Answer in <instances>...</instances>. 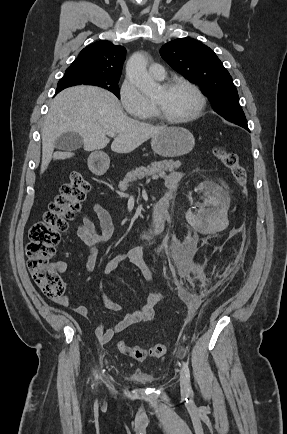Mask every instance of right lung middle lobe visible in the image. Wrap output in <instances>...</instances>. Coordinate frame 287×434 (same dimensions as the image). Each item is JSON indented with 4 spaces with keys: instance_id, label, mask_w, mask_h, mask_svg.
<instances>
[{
    "instance_id": "1",
    "label": "right lung middle lobe",
    "mask_w": 287,
    "mask_h": 434,
    "mask_svg": "<svg viewBox=\"0 0 287 434\" xmlns=\"http://www.w3.org/2000/svg\"><path fill=\"white\" fill-rule=\"evenodd\" d=\"M119 78L96 77L85 73L66 70L65 75L58 82L57 89H65L73 85H95L109 90L120 99L118 86Z\"/></svg>"
}]
</instances>
